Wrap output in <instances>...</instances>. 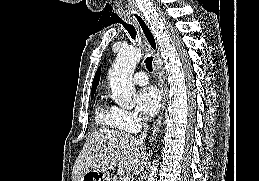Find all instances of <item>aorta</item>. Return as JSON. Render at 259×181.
<instances>
[{
    "mask_svg": "<svg viewBox=\"0 0 259 181\" xmlns=\"http://www.w3.org/2000/svg\"><path fill=\"white\" fill-rule=\"evenodd\" d=\"M142 57L140 48L123 47L119 50L112 68L109 70L108 79L111 87V98L122 108H132V93L134 85L132 75L137 63ZM158 172V162L153 161L148 174V181H155Z\"/></svg>",
    "mask_w": 259,
    "mask_h": 181,
    "instance_id": "762f6f07",
    "label": "aorta"
}]
</instances>
